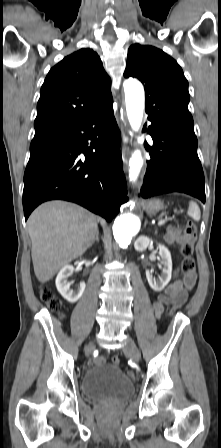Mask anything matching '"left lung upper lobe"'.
I'll list each match as a JSON object with an SVG mask.
<instances>
[{"mask_svg": "<svg viewBox=\"0 0 221 448\" xmlns=\"http://www.w3.org/2000/svg\"><path fill=\"white\" fill-rule=\"evenodd\" d=\"M124 76L136 77L145 85L148 119L196 137L188 110V82L173 58L153 46L134 44L128 50Z\"/></svg>", "mask_w": 221, "mask_h": 448, "instance_id": "1", "label": "left lung upper lobe"}]
</instances>
